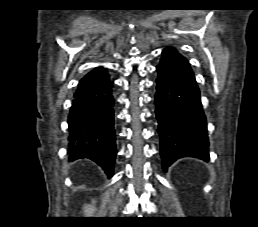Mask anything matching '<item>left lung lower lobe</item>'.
Masks as SVG:
<instances>
[{"mask_svg":"<svg viewBox=\"0 0 258 227\" xmlns=\"http://www.w3.org/2000/svg\"><path fill=\"white\" fill-rule=\"evenodd\" d=\"M155 113L164 170L182 157L209 160L207 122L192 69L174 48L157 66Z\"/></svg>","mask_w":258,"mask_h":227,"instance_id":"0a47b994","label":"left lung lower lobe"}]
</instances>
